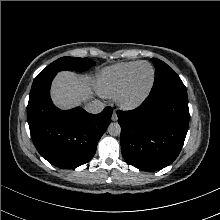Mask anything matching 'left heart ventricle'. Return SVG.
<instances>
[{"label": "left heart ventricle", "mask_w": 220, "mask_h": 220, "mask_svg": "<svg viewBox=\"0 0 220 220\" xmlns=\"http://www.w3.org/2000/svg\"><path fill=\"white\" fill-rule=\"evenodd\" d=\"M151 79V69L147 65L140 66L133 78L132 94L137 95L142 92Z\"/></svg>", "instance_id": "b2bd125f"}]
</instances>
